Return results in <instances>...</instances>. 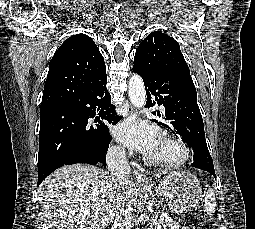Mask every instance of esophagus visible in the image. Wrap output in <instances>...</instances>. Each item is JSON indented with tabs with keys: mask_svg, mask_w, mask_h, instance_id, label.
<instances>
[{
	"mask_svg": "<svg viewBox=\"0 0 255 229\" xmlns=\"http://www.w3.org/2000/svg\"><path fill=\"white\" fill-rule=\"evenodd\" d=\"M134 111L135 110L132 106H128L125 111V117H129L130 115H132L134 113ZM133 176H134V179L139 183H142V184L149 183L147 177L137 169L133 170Z\"/></svg>",
	"mask_w": 255,
	"mask_h": 229,
	"instance_id": "esophagus-1",
	"label": "esophagus"
}]
</instances>
